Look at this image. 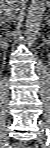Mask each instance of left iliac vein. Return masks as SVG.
<instances>
[{
  "mask_svg": "<svg viewBox=\"0 0 50 148\" xmlns=\"http://www.w3.org/2000/svg\"><path fill=\"white\" fill-rule=\"evenodd\" d=\"M42 127L45 128L46 124H42ZM37 139H38V141L43 142L44 136H43V132L42 131L39 133V136H38Z\"/></svg>",
  "mask_w": 50,
  "mask_h": 148,
  "instance_id": "1",
  "label": "left iliac vein"
}]
</instances>
